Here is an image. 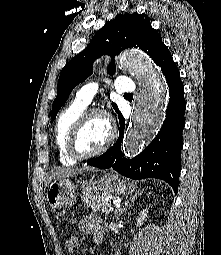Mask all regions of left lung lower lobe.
<instances>
[{
	"instance_id": "left-lung-lower-lobe-1",
	"label": "left lung lower lobe",
	"mask_w": 221,
	"mask_h": 255,
	"mask_svg": "<svg viewBox=\"0 0 221 255\" xmlns=\"http://www.w3.org/2000/svg\"><path fill=\"white\" fill-rule=\"evenodd\" d=\"M155 63L161 67L167 80L170 96L166 117L158 135L138 156L131 160L123 158L121 142L125 120L120 115V134L114 146L87 164L104 169L113 168L120 174L136 180L159 178L169 183L177 193L181 169L182 131L185 126L184 87L179 70L166 46L159 52Z\"/></svg>"
}]
</instances>
